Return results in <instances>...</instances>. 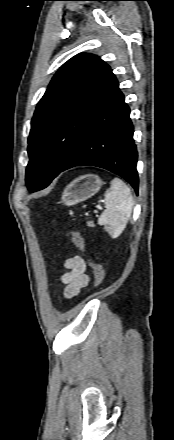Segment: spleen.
<instances>
[{"label":"spleen","mask_w":174,"mask_h":440,"mask_svg":"<svg viewBox=\"0 0 174 440\" xmlns=\"http://www.w3.org/2000/svg\"><path fill=\"white\" fill-rule=\"evenodd\" d=\"M111 187L105 195L106 209L98 219L105 231L112 238H117L124 231L133 209L130 188L119 178L111 181Z\"/></svg>","instance_id":"1"}]
</instances>
